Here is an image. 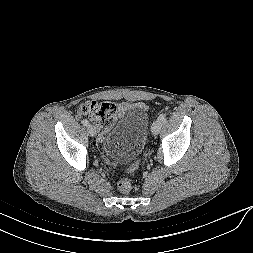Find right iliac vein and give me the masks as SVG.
Here are the masks:
<instances>
[{
  "label": "right iliac vein",
  "mask_w": 253,
  "mask_h": 253,
  "mask_svg": "<svg viewBox=\"0 0 253 253\" xmlns=\"http://www.w3.org/2000/svg\"><path fill=\"white\" fill-rule=\"evenodd\" d=\"M87 131L90 136L96 135V128L93 125H88Z\"/></svg>",
  "instance_id": "obj_1"
}]
</instances>
